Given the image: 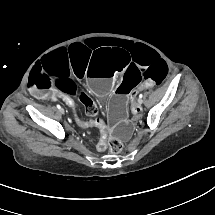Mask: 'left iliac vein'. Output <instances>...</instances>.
<instances>
[{
	"label": "left iliac vein",
	"instance_id": "4c4485c4",
	"mask_svg": "<svg viewBox=\"0 0 215 215\" xmlns=\"http://www.w3.org/2000/svg\"><path fill=\"white\" fill-rule=\"evenodd\" d=\"M141 104H142V102H140V101L138 100V102H137V103H135L134 105H135V106H139V107H140V106H141Z\"/></svg>",
	"mask_w": 215,
	"mask_h": 215
}]
</instances>
